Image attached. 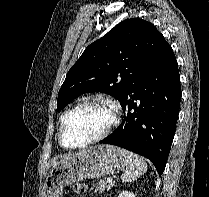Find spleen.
Masks as SVG:
<instances>
[{"label": "spleen", "mask_w": 209, "mask_h": 197, "mask_svg": "<svg viewBox=\"0 0 209 197\" xmlns=\"http://www.w3.org/2000/svg\"><path fill=\"white\" fill-rule=\"evenodd\" d=\"M121 153L126 162V170L121 176L122 182H132L147 171L143 158L127 150H121Z\"/></svg>", "instance_id": "obj_1"}]
</instances>
